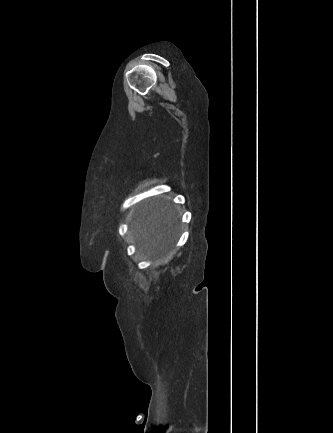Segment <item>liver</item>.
Instances as JSON below:
<instances>
[{
  "label": "liver",
  "mask_w": 333,
  "mask_h": 433,
  "mask_svg": "<svg viewBox=\"0 0 333 433\" xmlns=\"http://www.w3.org/2000/svg\"><path fill=\"white\" fill-rule=\"evenodd\" d=\"M130 229L139 251L162 261L180 230L176 207L167 198L147 200L137 207Z\"/></svg>",
  "instance_id": "obj_1"
}]
</instances>
